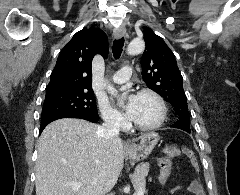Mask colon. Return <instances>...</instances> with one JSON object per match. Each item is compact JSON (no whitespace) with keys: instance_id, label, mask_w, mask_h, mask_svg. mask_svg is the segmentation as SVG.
Wrapping results in <instances>:
<instances>
[{"instance_id":"obj_1","label":"colon","mask_w":240,"mask_h":195,"mask_svg":"<svg viewBox=\"0 0 240 195\" xmlns=\"http://www.w3.org/2000/svg\"><path fill=\"white\" fill-rule=\"evenodd\" d=\"M177 159V150H170L169 147L162 148V166L158 167L159 171H162V174L158 175L159 181H167V176H171L173 172V160ZM186 159H189L194 168L198 167V161L195 157V154L189 153L186 154ZM193 192L195 195H204L201 187L198 184H193Z\"/></svg>"}]
</instances>
